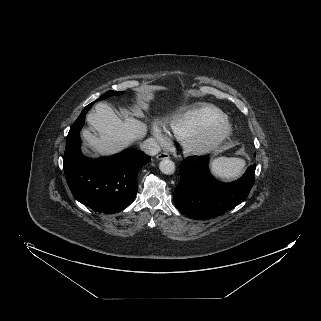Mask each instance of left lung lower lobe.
Returning a JSON list of instances; mask_svg holds the SVG:
<instances>
[{
  "mask_svg": "<svg viewBox=\"0 0 321 321\" xmlns=\"http://www.w3.org/2000/svg\"><path fill=\"white\" fill-rule=\"evenodd\" d=\"M209 157L186 159L180 167V181L174 190V203L184 215L205 220L222 215L242 203L254 180L256 164L250 165L237 181L222 183L208 169Z\"/></svg>",
  "mask_w": 321,
  "mask_h": 321,
  "instance_id": "left-lung-lower-lobe-1",
  "label": "left lung lower lobe"
}]
</instances>
